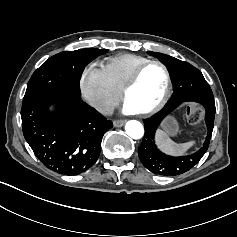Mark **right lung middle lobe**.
<instances>
[{
	"label": "right lung middle lobe",
	"mask_w": 237,
	"mask_h": 237,
	"mask_svg": "<svg viewBox=\"0 0 237 237\" xmlns=\"http://www.w3.org/2000/svg\"><path fill=\"white\" fill-rule=\"evenodd\" d=\"M105 52V49L88 48L52 56L33 73L22 106L58 94L81 95L79 82L84 67Z\"/></svg>",
	"instance_id": "1"
}]
</instances>
